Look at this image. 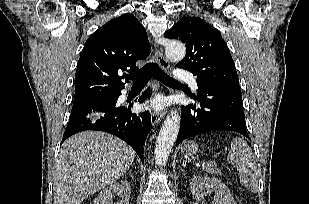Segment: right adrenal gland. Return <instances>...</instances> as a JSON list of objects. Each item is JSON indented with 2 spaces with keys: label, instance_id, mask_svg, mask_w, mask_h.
Instances as JSON below:
<instances>
[{
  "label": "right adrenal gland",
  "instance_id": "1",
  "mask_svg": "<svg viewBox=\"0 0 309 204\" xmlns=\"http://www.w3.org/2000/svg\"><path fill=\"white\" fill-rule=\"evenodd\" d=\"M128 174L132 177V169H129Z\"/></svg>",
  "mask_w": 309,
  "mask_h": 204
}]
</instances>
